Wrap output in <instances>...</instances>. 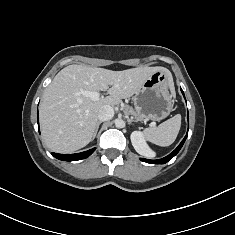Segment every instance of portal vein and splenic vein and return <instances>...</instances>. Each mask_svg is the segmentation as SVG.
I'll use <instances>...</instances> for the list:
<instances>
[{
    "instance_id": "portal-vein-and-splenic-vein-1",
    "label": "portal vein and splenic vein",
    "mask_w": 235,
    "mask_h": 235,
    "mask_svg": "<svg viewBox=\"0 0 235 235\" xmlns=\"http://www.w3.org/2000/svg\"><path fill=\"white\" fill-rule=\"evenodd\" d=\"M81 93L87 97H90L92 100H97L101 96L99 92H92V91H86V90H82Z\"/></svg>"
}]
</instances>
